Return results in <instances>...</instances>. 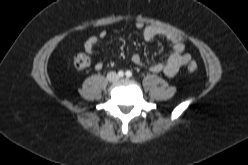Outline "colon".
<instances>
[{"instance_id":"obj_1","label":"colon","mask_w":248,"mask_h":165,"mask_svg":"<svg viewBox=\"0 0 248 165\" xmlns=\"http://www.w3.org/2000/svg\"><path fill=\"white\" fill-rule=\"evenodd\" d=\"M90 59L84 53H76L73 56V65L77 69H85L89 66ZM187 69L189 72H195L197 70V64L195 62H189L187 65Z\"/></svg>"}]
</instances>
